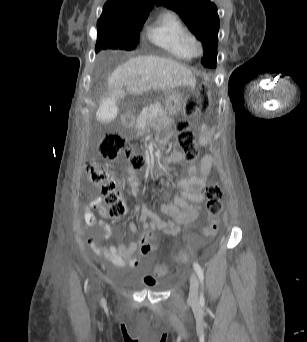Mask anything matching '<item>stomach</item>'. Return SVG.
<instances>
[{
	"label": "stomach",
	"instance_id": "0dacf381",
	"mask_svg": "<svg viewBox=\"0 0 307 342\" xmlns=\"http://www.w3.org/2000/svg\"><path fill=\"white\" fill-rule=\"evenodd\" d=\"M191 90L189 87H183L171 94L166 100V112L172 116L180 112L184 108Z\"/></svg>",
	"mask_w": 307,
	"mask_h": 342
}]
</instances>
